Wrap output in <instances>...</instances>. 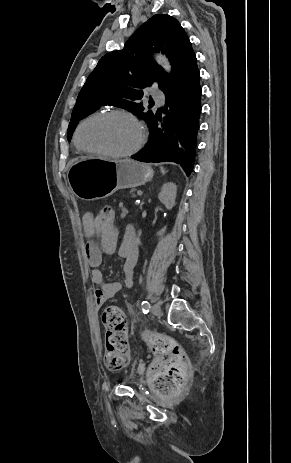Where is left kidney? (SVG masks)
<instances>
[{
    "label": "left kidney",
    "instance_id": "1",
    "mask_svg": "<svg viewBox=\"0 0 291 463\" xmlns=\"http://www.w3.org/2000/svg\"><path fill=\"white\" fill-rule=\"evenodd\" d=\"M177 194V186L173 182H168L163 185L158 197L159 200L165 205L168 210H171L175 205V199ZM166 228H163L157 233L161 236L165 232Z\"/></svg>",
    "mask_w": 291,
    "mask_h": 463
}]
</instances>
